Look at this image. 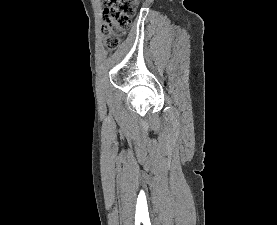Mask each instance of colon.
<instances>
[{
    "mask_svg": "<svg viewBox=\"0 0 277 225\" xmlns=\"http://www.w3.org/2000/svg\"><path fill=\"white\" fill-rule=\"evenodd\" d=\"M105 11L102 22V32L105 36L104 44L108 49H115L119 38L131 22L137 0H104Z\"/></svg>",
    "mask_w": 277,
    "mask_h": 225,
    "instance_id": "5ec220e1",
    "label": "colon"
}]
</instances>
